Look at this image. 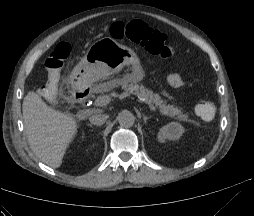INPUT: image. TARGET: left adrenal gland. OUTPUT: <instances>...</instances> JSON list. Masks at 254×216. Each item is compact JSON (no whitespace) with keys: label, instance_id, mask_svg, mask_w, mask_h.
<instances>
[{"label":"left adrenal gland","instance_id":"a2214340","mask_svg":"<svg viewBox=\"0 0 254 216\" xmlns=\"http://www.w3.org/2000/svg\"><path fill=\"white\" fill-rule=\"evenodd\" d=\"M143 119H144V122L147 124V121L149 120V117H147L146 115H143Z\"/></svg>","mask_w":254,"mask_h":216}]
</instances>
